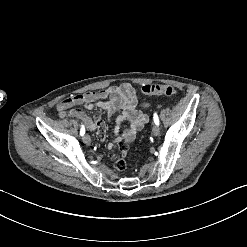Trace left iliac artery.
Segmentation results:
<instances>
[{"mask_svg":"<svg viewBox=\"0 0 247 247\" xmlns=\"http://www.w3.org/2000/svg\"><path fill=\"white\" fill-rule=\"evenodd\" d=\"M153 119H154V123H155L156 125H159V119H158L157 113H154Z\"/></svg>","mask_w":247,"mask_h":247,"instance_id":"left-iliac-artery-1","label":"left iliac artery"}]
</instances>
